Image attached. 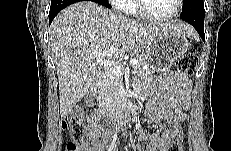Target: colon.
Here are the masks:
<instances>
[{
  "mask_svg": "<svg viewBox=\"0 0 231 151\" xmlns=\"http://www.w3.org/2000/svg\"><path fill=\"white\" fill-rule=\"evenodd\" d=\"M178 71L184 76L193 75L197 66V57L194 54H186L176 63ZM62 125L69 129L72 141L64 145V151H80V146L87 140L84 116L80 109H73L64 116ZM172 141L168 151H182L183 131L180 122H174L171 126Z\"/></svg>",
  "mask_w": 231,
  "mask_h": 151,
  "instance_id": "1",
  "label": "colon"
}]
</instances>
